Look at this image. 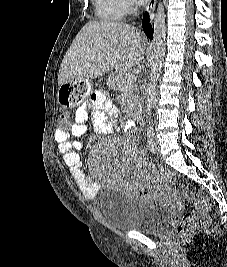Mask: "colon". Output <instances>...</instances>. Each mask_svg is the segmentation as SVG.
<instances>
[{"instance_id":"obj_1","label":"colon","mask_w":227,"mask_h":267,"mask_svg":"<svg viewBox=\"0 0 227 267\" xmlns=\"http://www.w3.org/2000/svg\"><path fill=\"white\" fill-rule=\"evenodd\" d=\"M83 102V99H82ZM75 114H60L59 130H70L73 124L72 120L75 119ZM161 175L166 181L170 182L174 188V191L181 197L187 198L191 203L195 205V209L186 212L176 227V238L178 241H187L196 234L205 231L210 226V216L208 213V202L206 197L201 193H188L186 185L173 180L171 174L162 170Z\"/></svg>"}]
</instances>
